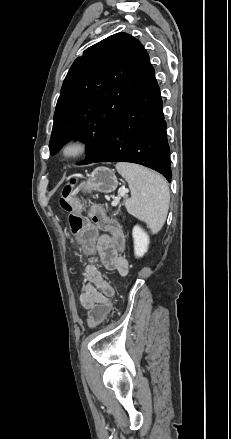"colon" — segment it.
Here are the masks:
<instances>
[{
    "mask_svg": "<svg viewBox=\"0 0 231 439\" xmlns=\"http://www.w3.org/2000/svg\"><path fill=\"white\" fill-rule=\"evenodd\" d=\"M74 182L67 185L60 198L61 207L69 213L68 224L71 233L76 237L79 244L84 249L83 257L85 262L90 263L93 260L94 252L93 239L95 228L109 229L118 244L119 249H124V239L120 226L116 221L109 218L102 208L97 204H91L87 208V217L81 214V204L72 196V186ZM114 295H109L104 301L94 303L88 308V324L95 326L97 323H104L113 310Z\"/></svg>",
    "mask_w": 231,
    "mask_h": 439,
    "instance_id": "colon-1",
    "label": "colon"
}]
</instances>
